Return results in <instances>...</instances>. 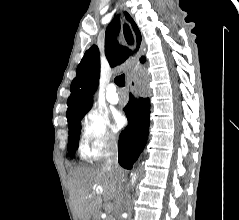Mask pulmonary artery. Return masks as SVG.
Returning <instances> with one entry per match:
<instances>
[{
	"label": "pulmonary artery",
	"instance_id": "1",
	"mask_svg": "<svg viewBox=\"0 0 239 220\" xmlns=\"http://www.w3.org/2000/svg\"><path fill=\"white\" fill-rule=\"evenodd\" d=\"M106 98L108 102L112 104H117L120 100L119 94L117 93V88L115 84L111 83L107 87Z\"/></svg>",
	"mask_w": 239,
	"mask_h": 220
}]
</instances>
